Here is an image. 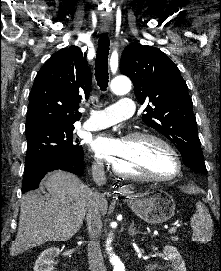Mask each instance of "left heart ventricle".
Listing matches in <instances>:
<instances>
[{
  "mask_svg": "<svg viewBox=\"0 0 221 271\" xmlns=\"http://www.w3.org/2000/svg\"><path fill=\"white\" fill-rule=\"evenodd\" d=\"M157 139L143 137L134 141L135 156H121L116 160L118 175H149L150 177H175V166H168L170 152L165 147H158Z\"/></svg>",
  "mask_w": 221,
  "mask_h": 271,
  "instance_id": "left-heart-ventricle-1",
  "label": "left heart ventricle"
}]
</instances>
